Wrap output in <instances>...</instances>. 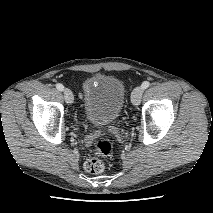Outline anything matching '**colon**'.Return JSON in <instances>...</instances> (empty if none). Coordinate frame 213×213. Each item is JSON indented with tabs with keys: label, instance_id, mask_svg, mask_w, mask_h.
<instances>
[{
	"label": "colon",
	"instance_id": "1",
	"mask_svg": "<svg viewBox=\"0 0 213 213\" xmlns=\"http://www.w3.org/2000/svg\"><path fill=\"white\" fill-rule=\"evenodd\" d=\"M114 149V143L108 138H100L94 144L93 153L86 159L84 168L88 173L99 174L105 165L102 157H109Z\"/></svg>",
	"mask_w": 213,
	"mask_h": 213
}]
</instances>
